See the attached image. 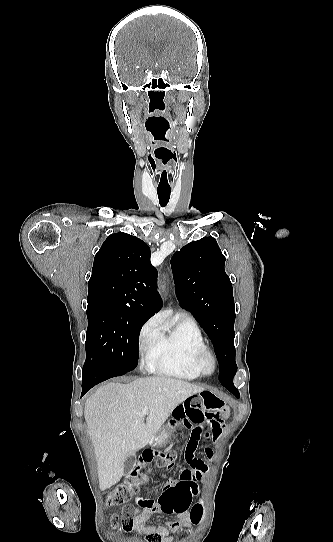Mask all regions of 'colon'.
Returning <instances> with one entry per match:
<instances>
[{
	"label": "colon",
	"instance_id": "5ec220e1",
	"mask_svg": "<svg viewBox=\"0 0 333 542\" xmlns=\"http://www.w3.org/2000/svg\"><path fill=\"white\" fill-rule=\"evenodd\" d=\"M144 452V451H143ZM176 455L175 453L172 454ZM171 456V457H172ZM170 458H165L166 463H171ZM182 469L181 479L184 481H190L192 475L196 480H201L203 478V473L201 468L203 466V461L201 458H192L191 461ZM208 465H211V462H208ZM195 469H198L195 472ZM146 477H132L129 480L134 482L132 487H124L123 485H118V487L107 497L109 505L115 506L124 503L123 510L120 518L122 521L127 522L130 520V513H134L136 510V505L134 502H126L135 494V490L138 486L145 481ZM195 491L198 494H203L206 491V486L203 483H198L195 486ZM194 489H192L190 483H180L177 487H170V489H163L160 496L161 503V512L164 516H178L184 513V510L188 511V516L185 517L186 524H193L197 522L201 517L203 509L199 506H196L197 496L195 495ZM179 500V501H178ZM178 501V502H177ZM112 514H116V511H112ZM178 514V515H177ZM126 530L131 528L130 523H126ZM103 536H106V533H103ZM147 542H160L156 532L151 531L147 535Z\"/></svg>",
	"mask_w": 333,
	"mask_h": 542
}]
</instances>
